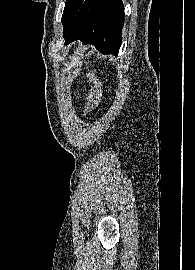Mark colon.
I'll use <instances>...</instances> for the list:
<instances>
[{
    "label": "colon",
    "mask_w": 195,
    "mask_h": 270,
    "mask_svg": "<svg viewBox=\"0 0 195 270\" xmlns=\"http://www.w3.org/2000/svg\"><path fill=\"white\" fill-rule=\"evenodd\" d=\"M86 77H87L88 82L91 85V88H90V93H89L85 113L87 115H90L93 112H95L99 106V103L101 100L102 88L98 79L94 77L92 74H87Z\"/></svg>",
    "instance_id": "5ec220e1"
}]
</instances>
